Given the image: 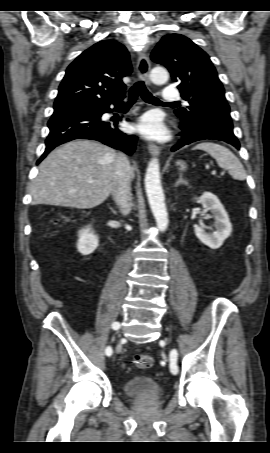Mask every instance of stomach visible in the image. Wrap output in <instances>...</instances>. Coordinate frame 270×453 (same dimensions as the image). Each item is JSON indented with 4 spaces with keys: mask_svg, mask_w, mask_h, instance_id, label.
<instances>
[{
    "mask_svg": "<svg viewBox=\"0 0 270 453\" xmlns=\"http://www.w3.org/2000/svg\"><path fill=\"white\" fill-rule=\"evenodd\" d=\"M176 164L179 167V170H181V171H184L187 168L186 163L182 160L177 161Z\"/></svg>",
    "mask_w": 270,
    "mask_h": 453,
    "instance_id": "1",
    "label": "stomach"
}]
</instances>
